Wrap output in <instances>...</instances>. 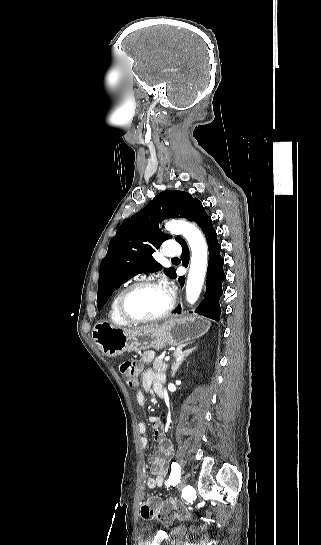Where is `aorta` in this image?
<instances>
[{"instance_id":"1","label":"aorta","mask_w":321,"mask_h":545,"mask_svg":"<svg viewBox=\"0 0 321 545\" xmlns=\"http://www.w3.org/2000/svg\"><path fill=\"white\" fill-rule=\"evenodd\" d=\"M165 229L172 234L183 235L191 249L192 256L186 282V298L190 304H194L201 293L207 271V243L201 231L189 222L182 220L170 221L166 223Z\"/></svg>"}]
</instances>
